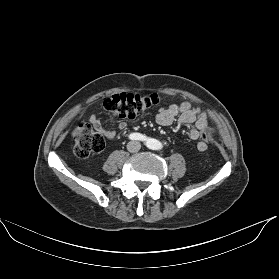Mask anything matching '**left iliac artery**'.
<instances>
[{"instance_id": "1", "label": "left iliac artery", "mask_w": 279, "mask_h": 279, "mask_svg": "<svg viewBox=\"0 0 279 279\" xmlns=\"http://www.w3.org/2000/svg\"><path fill=\"white\" fill-rule=\"evenodd\" d=\"M146 145L151 149H156V142L153 139H146Z\"/></svg>"}]
</instances>
